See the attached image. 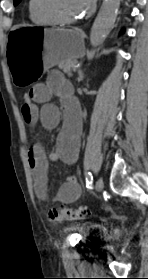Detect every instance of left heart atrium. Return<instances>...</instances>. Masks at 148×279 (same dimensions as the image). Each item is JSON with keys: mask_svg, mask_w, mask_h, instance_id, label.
<instances>
[{"mask_svg": "<svg viewBox=\"0 0 148 279\" xmlns=\"http://www.w3.org/2000/svg\"><path fill=\"white\" fill-rule=\"evenodd\" d=\"M96 0H79L82 13H88L95 6Z\"/></svg>", "mask_w": 148, "mask_h": 279, "instance_id": "1", "label": "left heart atrium"}]
</instances>
